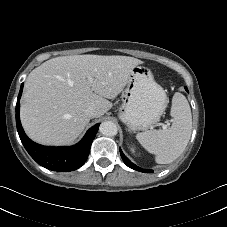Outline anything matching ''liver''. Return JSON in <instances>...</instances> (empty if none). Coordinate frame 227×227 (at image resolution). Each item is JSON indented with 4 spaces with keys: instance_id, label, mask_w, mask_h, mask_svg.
Returning a JSON list of instances; mask_svg holds the SVG:
<instances>
[{
    "instance_id": "6515ba94",
    "label": "liver",
    "mask_w": 227,
    "mask_h": 227,
    "mask_svg": "<svg viewBox=\"0 0 227 227\" xmlns=\"http://www.w3.org/2000/svg\"><path fill=\"white\" fill-rule=\"evenodd\" d=\"M129 56L74 55L52 58L28 75L20 118L26 134L44 145L74 142L88 125L94 107L101 117L111 109L135 66Z\"/></svg>"
}]
</instances>
